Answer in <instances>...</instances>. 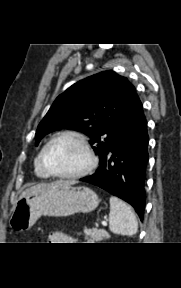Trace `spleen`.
I'll list each match as a JSON object with an SVG mask.
<instances>
[{
    "label": "spleen",
    "instance_id": "spleen-1",
    "mask_svg": "<svg viewBox=\"0 0 181 288\" xmlns=\"http://www.w3.org/2000/svg\"><path fill=\"white\" fill-rule=\"evenodd\" d=\"M109 229L118 235L132 236L138 231V222L130 206L117 197H110Z\"/></svg>",
    "mask_w": 181,
    "mask_h": 288
}]
</instances>
